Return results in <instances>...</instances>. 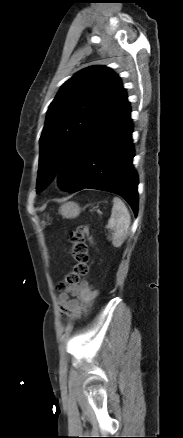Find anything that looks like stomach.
<instances>
[{
    "label": "stomach",
    "mask_w": 183,
    "mask_h": 438,
    "mask_svg": "<svg viewBox=\"0 0 183 438\" xmlns=\"http://www.w3.org/2000/svg\"><path fill=\"white\" fill-rule=\"evenodd\" d=\"M81 208L75 202H67L60 207V213L65 218H75L79 215ZM46 224L45 219L42 220Z\"/></svg>",
    "instance_id": "1"
}]
</instances>
